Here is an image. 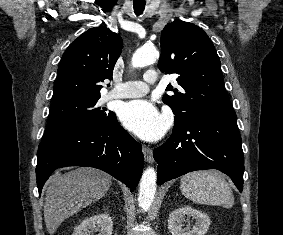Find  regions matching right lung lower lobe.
<instances>
[{"mask_svg":"<svg viewBox=\"0 0 283 235\" xmlns=\"http://www.w3.org/2000/svg\"><path fill=\"white\" fill-rule=\"evenodd\" d=\"M143 153L118 123L115 113L104 123L41 142L36 177L39 194L51 173L66 166L101 169L123 182L133 192L143 170Z\"/></svg>","mask_w":283,"mask_h":235,"instance_id":"obj_1","label":"right lung lower lobe"}]
</instances>
